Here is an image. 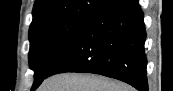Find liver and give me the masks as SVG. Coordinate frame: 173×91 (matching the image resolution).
Returning <instances> with one entry per match:
<instances>
[{"instance_id": "6515ba94", "label": "liver", "mask_w": 173, "mask_h": 91, "mask_svg": "<svg viewBox=\"0 0 173 91\" xmlns=\"http://www.w3.org/2000/svg\"><path fill=\"white\" fill-rule=\"evenodd\" d=\"M38 91H135L131 86L95 74L63 73L43 81Z\"/></svg>"}]
</instances>
